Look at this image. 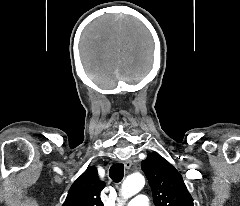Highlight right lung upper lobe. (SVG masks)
Masks as SVG:
<instances>
[{"label":"right lung upper lobe","instance_id":"right-lung-upper-lobe-1","mask_svg":"<svg viewBox=\"0 0 240 206\" xmlns=\"http://www.w3.org/2000/svg\"><path fill=\"white\" fill-rule=\"evenodd\" d=\"M104 187L96 167H88L73 183L62 206H103L100 192Z\"/></svg>","mask_w":240,"mask_h":206}]
</instances>
